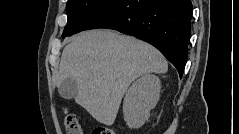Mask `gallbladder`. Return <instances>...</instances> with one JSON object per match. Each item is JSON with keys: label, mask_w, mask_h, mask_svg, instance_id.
Wrapping results in <instances>:
<instances>
[{"label": "gallbladder", "mask_w": 239, "mask_h": 134, "mask_svg": "<svg viewBox=\"0 0 239 134\" xmlns=\"http://www.w3.org/2000/svg\"><path fill=\"white\" fill-rule=\"evenodd\" d=\"M77 85L76 82L71 79L67 78L61 82L58 86V92L64 99H72L77 94Z\"/></svg>", "instance_id": "bac80fb5"}]
</instances>
